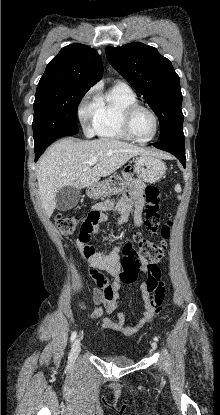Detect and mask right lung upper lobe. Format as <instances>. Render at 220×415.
Wrapping results in <instances>:
<instances>
[{
	"instance_id": "1",
	"label": "right lung upper lobe",
	"mask_w": 220,
	"mask_h": 415,
	"mask_svg": "<svg viewBox=\"0 0 220 415\" xmlns=\"http://www.w3.org/2000/svg\"><path fill=\"white\" fill-rule=\"evenodd\" d=\"M103 74L102 60L91 47L74 43L63 47L46 67L38 85L92 87Z\"/></svg>"
}]
</instances>
